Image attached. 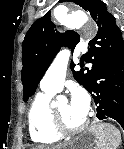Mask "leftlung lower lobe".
I'll use <instances>...</instances> for the list:
<instances>
[{
    "label": "left lung lower lobe",
    "instance_id": "1",
    "mask_svg": "<svg viewBox=\"0 0 124 149\" xmlns=\"http://www.w3.org/2000/svg\"><path fill=\"white\" fill-rule=\"evenodd\" d=\"M99 120L113 119L124 129V53L101 64L87 88Z\"/></svg>",
    "mask_w": 124,
    "mask_h": 149
}]
</instances>
